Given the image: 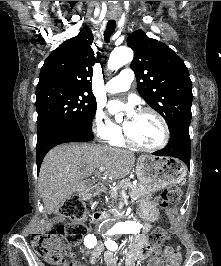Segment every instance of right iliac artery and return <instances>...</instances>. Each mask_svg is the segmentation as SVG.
<instances>
[{"mask_svg": "<svg viewBox=\"0 0 221 266\" xmlns=\"http://www.w3.org/2000/svg\"><path fill=\"white\" fill-rule=\"evenodd\" d=\"M97 244V239L94 234H89L84 238V245L87 248H93Z\"/></svg>", "mask_w": 221, "mask_h": 266, "instance_id": "right-iliac-artery-1", "label": "right iliac artery"}]
</instances>
